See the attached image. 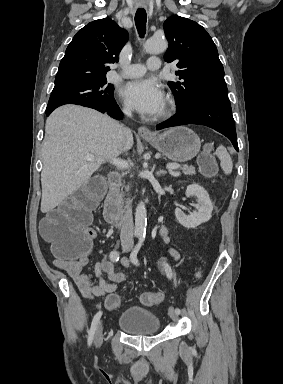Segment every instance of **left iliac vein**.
I'll list each match as a JSON object with an SVG mask.
<instances>
[{
  "label": "left iliac vein",
  "mask_w": 283,
  "mask_h": 384,
  "mask_svg": "<svg viewBox=\"0 0 283 384\" xmlns=\"http://www.w3.org/2000/svg\"><path fill=\"white\" fill-rule=\"evenodd\" d=\"M168 314L170 316V318L173 320V321H177L178 320V314L176 313V311L174 310V308L170 307L169 308V311H168ZM181 349L182 350H186L187 349V344L185 342H182L181 343Z\"/></svg>",
  "instance_id": "1"
}]
</instances>
